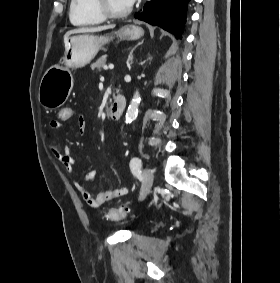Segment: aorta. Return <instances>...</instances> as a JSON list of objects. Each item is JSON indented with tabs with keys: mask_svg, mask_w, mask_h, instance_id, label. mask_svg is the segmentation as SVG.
I'll return each mask as SVG.
<instances>
[{
	"mask_svg": "<svg viewBox=\"0 0 280 283\" xmlns=\"http://www.w3.org/2000/svg\"><path fill=\"white\" fill-rule=\"evenodd\" d=\"M139 104H140V94L138 91H136L125 116L126 123H130L136 119L138 115Z\"/></svg>",
	"mask_w": 280,
	"mask_h": 283,
	"instance_id": "aorta-1",
	"label": "aorta"
}]
</instances>
